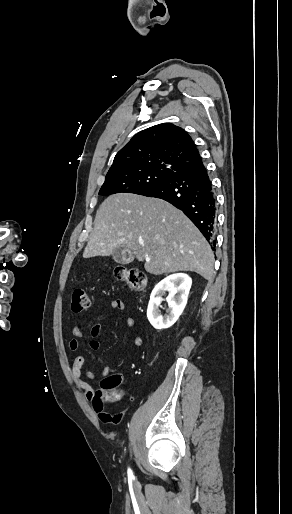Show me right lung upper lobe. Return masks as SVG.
Returning <instances> with one entry per match:
<instances>
[{"instance_id":"1","label":"right lung upper lobe","mask_w":292,"mask_h":514,"mask_svg":"<svg viewBox=\"0 0 292 514\" xmlns=\"http://www.w3.org/2000/svg\"><path fill=\"white\" fill-rule=\"evenodd\" d=\"M201 162L199 151L188 133L164 123L134 135L116 154L106 177L144 172L174 174Z\"/></svg>"}]
</instances>
